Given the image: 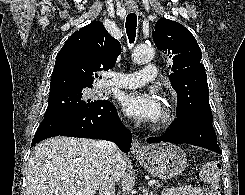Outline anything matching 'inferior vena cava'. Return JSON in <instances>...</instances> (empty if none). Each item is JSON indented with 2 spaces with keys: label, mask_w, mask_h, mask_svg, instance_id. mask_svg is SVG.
I'll return each instance as SVG.
<instances>
[{
  "label": "inferior vena cava",
  "mask_w": 245,
  "mask_h": 195,
  "mask_svg": "<svg viewBox=\"0 0 245 195\" xmlns=\"http://www.w3.org/2000/svg\"><path fill=\"white\" fill-rule=\"evenodd\" d=\"M105 161L99 181V195H115V181L112 177L114 157L119 151L113 142L103 141Z\"/></svg>",
  "instance_id": "1"
}]
</instances>
